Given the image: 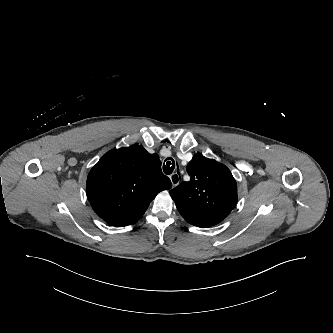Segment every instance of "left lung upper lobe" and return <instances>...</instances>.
Listing matches in <instances>:
<instances>
[{"mask_svg":"<svg viewBox=\"0 0 333 333\" xmlns=\"http://www.w3.org/2000/svg\"><path fill=\"white\" fill-rule=\"evenodd\" d=\"M186 170L191 176L190 181L180 183L169 192L176 206L234 209L237 203V185L225 165L196 154Z\"/></svg>","mask_w":333,"mask_h":333,"instance_id":"left-lung-upper-lobe-1","label":"left lung upper lobe"}]
</instances>
